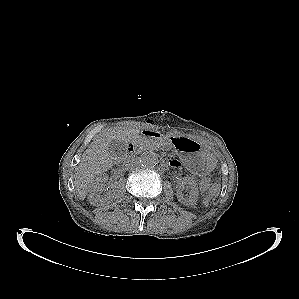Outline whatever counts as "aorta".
<instances>
[{
  "label": "aorta",
  "mask_w": 299,
  "mask_h": 299,
  "mask_svg": "<svg viewBox=\"0 0 299 299\" xmlns=\"http://www.w3.org/2000/svg\"><path fill=\"white\" fill-rule=\"evenodd\" d=\"M140 161L145 167H154L159 163V157L155 152H145Z\"/></svg>",
  "instance_id": "1"
}]
</instances>
